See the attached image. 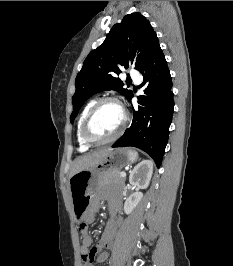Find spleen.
I'll use <instances>...</instances> for the list:
<instances>
[{
	"mask_svg": "<svg viewBox=\"0 0 233 266\" xmlns=\"http://www.w3.org/2000/svg\"><path fill=\"white\" fill-rule=\"evenodd\" d=\"M129 154L133 161H135L138 158V153L134 150H129Z\"/></svg>",
	"mask_w": 233,
	"mask_h": 266,
	"instance_id": "3e777b00",
	"label": "spleen"
}]
</instances>
